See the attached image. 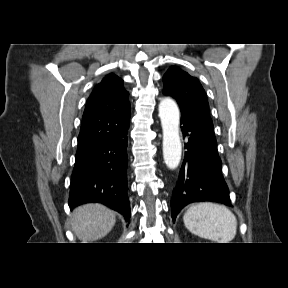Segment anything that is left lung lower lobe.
I'll use <instances>...</instances> for the list:
<instances>
[{
    "label": "left lung lower lobe",
    "instance_id": "obj_1",
    "mask_svg": "<svg viewBox=\"0 0 288 288\" xmlns=\"http://www.w3.org/2000/svg\"><path fill=\"white\" fill-rule=\"evenodd\" d=\"M181 130L187 138L185 158L171 198L172 219L187 204L214 201L231 206L227 184L222 176L214 128L206 121L181 116Z\"/></svg>",
    "mask_w": 288,
    "mask_h": 288
}]
</instances>
